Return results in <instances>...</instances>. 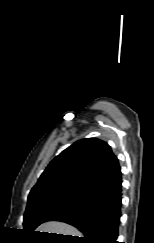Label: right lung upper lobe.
Wrapping results in <instances>:
<instances>
[{"label":"right lung upper lobe","instance_id":"1","mask_svg":"<svg viewBox=\"0 0 154 243\" xmlns=\"http://www.w3.org/2000/svg\"><path fill=\"white\" fill-rule=\"evenodd\" d=\"M121 180L111 148L96 138L79 140L54 158L32 188L28 201L51 195L88 199Z\"/></svg>","mask_w":154,"mask_h":243}]
</instances>
